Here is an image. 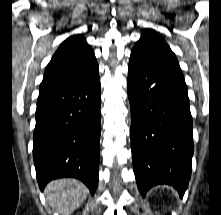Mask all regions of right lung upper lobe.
<instances>
[{
	"mask_svg": "<svg viewBox=\"0 0 221 215\" xmlns=\"http://www.w3.org/2000/svg\"><path fill=\"white\" fill-rule=\"evenodd\" d=\"M97 70L94 52L84 36H70L59 46L47 65L38 98L83 80Z\"/></svg>",
	"mask_w": 221,
	"mask_h": 215,
	"instance_id": "1",
	"label": "right lung upper lobe"
}]
</instances>
